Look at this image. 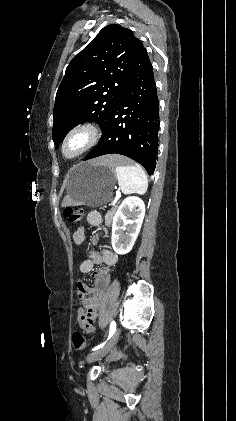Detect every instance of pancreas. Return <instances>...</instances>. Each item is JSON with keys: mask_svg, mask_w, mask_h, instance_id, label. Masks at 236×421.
Here are the masks:
<instances>
[{"mask_svg": "<svg viewBox=\"0 0 236 421\" xmlns=\"http://www.w3.org/2000/svg\"><path fill=\"white\" fill-rule=\"evenodd\" d=\"M116 208H117V204H115V206H112V208H110V211H108L105 217V225H111L112 219L116 213Z\"/></svg>", "mask_w": 236, "mask_h": 421, "instance_id": "obj_1", "label": "pancreas"}]
</instances>
